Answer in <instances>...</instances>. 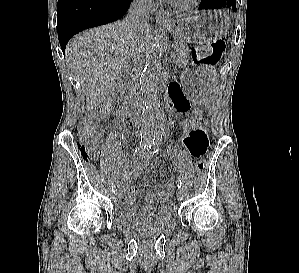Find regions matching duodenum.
Segmentation results:
<instances>
[{
  "label": "duodenum",
  "mask_w": 299,
  "mask_h": 273,
  "mask_svg": "<svg viewBox=\"0 0 299 273\" xmlns=\"http://www.w3.org/2000/svg\"><path fill=\"white\" fill-rule=\"evenodd\" d=\"M117 105H118V110H119V112L122 115L127 116L128 118H130L131 120H133L132 119V113H131V111L128 108V100H127V98L125 96H121V95L118 96V98H117ZM166 108L168 110H170L172 108L170 99H168L166 101Z\"/></svg>",
  "instance_id": "duodenum-1"
}]
</instances>
